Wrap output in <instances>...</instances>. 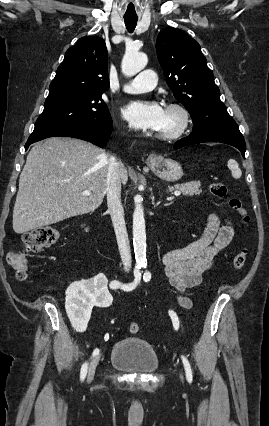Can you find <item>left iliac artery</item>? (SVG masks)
Listing matches in <instances>:
<instances>
[{
  "mask_svg": "<svg viewBox=\"0 0 269 426\" xmlns=\"http://www.w3.org/2000/svg\"><path fill=\"white\" fill-rule=\"evenodd\" d=\"M143 279H144L145 282H148L151 279V273L146 271L143 275ZM169 316L171 317L174 329L178 330V328H179L178 316L176 315V313L173 310H169ZM181 358H182V362H183V365H184V368H185L187 381L189 383H192L193 375H192L190 363L185 356H181Z\"/></svg>",
  "mask_w": 269,
  "mask_h": 426,
  "instance_id": "44dca946",
  "label": "left iliac artery"
}]
</instances>
